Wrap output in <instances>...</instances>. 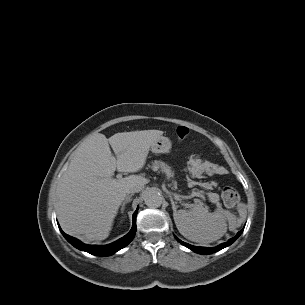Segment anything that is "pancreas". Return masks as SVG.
<instances>
[{
  "mask_svg": "<svg viewBox=\"0 0 305 305\" xmlns=\"http://www.w3.org/2000/svg\"><path fill=\"white\" fill-rule=\"evenodd\" d=\"M150 167L153 171L160 170L161 172L165 173L167 179H170L174 176V172L172 171L171 167L161 160H155L154 162H152V165Z\"/></svg>",
  "mask_w": 305,
  "mask_h": 305,
  "instance_id": "obj_1",
  "label": "pancreas"
}]
</instances>
